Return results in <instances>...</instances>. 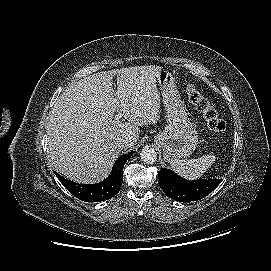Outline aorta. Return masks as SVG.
<instances>
[{
	"label": "aorta",
	"instance_id": "aorta-1",
	"mask_svg": "<svg viewBox=\"0 0 271 271\" xmlns=\"http://www.w3.org/2000/svg\"><path fill=\"white\" fill-rule=\"evenodd\" d=\"M140 157L144 163L153 164L157 160V153L152 147L145 146L140 152Z\"/></svg>",
	"mask_w": 271,
	"mask_h": 271
}]
</instances>
